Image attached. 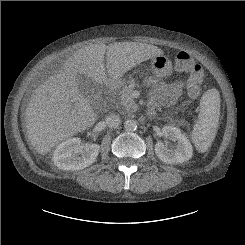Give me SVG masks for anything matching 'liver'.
I'll return each instance as SVG.
<instances>
[{
  "instance_id": "6515ba94",
  "label": "liver",
  "mask_w": 245,
  "mask_h": 245,
  "mask_svg": "<svg viewBox=\"0 0 245 245\" xmlns=\"http://www.w3.org/2000/svg\"><path fill=\"white\" fill-rule=\"evenodd\" d=\"M162 54L157 46L139 42L91 44L77 50L62 70L35 90L26 108L27 136L36 152L45 155L96 122V112L80 91L79 76L102 85L108 76L118 80L142 62Z\"/></svg>"
}]
</instances>
